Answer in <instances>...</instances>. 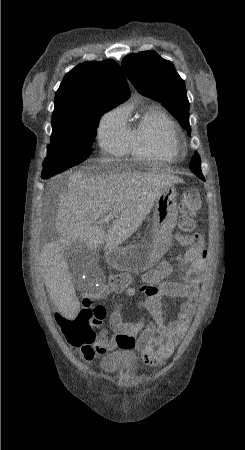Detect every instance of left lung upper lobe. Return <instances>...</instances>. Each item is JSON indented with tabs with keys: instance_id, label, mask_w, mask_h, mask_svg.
<instances>
[{
	"instance_id": "left-lung-upper-lobe-1",
	"label": "left lung upper lobe",
	"mask_w": 245,
	"mask_h": 450,
	"mask_svg": "<svg viewBox=\"0 0 245 450\" xmlns=\"http://www.w3.org/2000/svg\"><path fill=\"white\" fill-rule=\"evenodd\" d=\"M122 69L142 95L162 102L183 128L191 133L185 82L170 61L161 58L154 51H144L127 55L122 61ZM190 169L199 178H204L197 152L192 157Z\"/></svg>"
}]
</instances>
